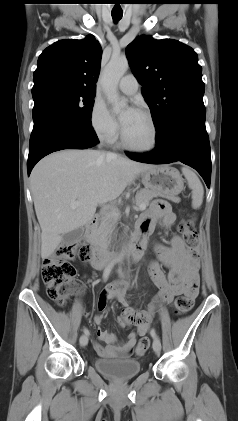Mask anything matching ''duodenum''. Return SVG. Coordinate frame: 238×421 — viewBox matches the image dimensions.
I'll use <instances>...</instances> for the list:
<instances>
[{"label": "duodenum", "mask_w": 238, "mask_h": 421, "mask_svg": "<svg viewBox=\"0 0 238 421\" xmlns=\"http://www.w3.org/2000/svg\"><path fill=\"white\" fill-rule=\"evenodd\" d=\"M98 223V217L94 216L86 224L85 236L92 245V252L90 257L91 265L96 269H103L109 265L123 260L129 262H136L144 254L146 249V239L141 234H136L133 238L132 244L124 253L110 252L100 246L95 240V230Z\"/></svg>", "instance_id": "410a0bca"}]
</instances>
